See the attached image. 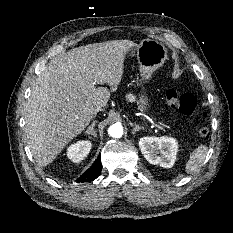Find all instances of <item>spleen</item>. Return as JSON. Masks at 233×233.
Returning a JSON list of instances; mask_svg holds the SVG:
<instances>
[{
  "label": "spleen",
  "mask_w": 233,
  "mask_h": 233,
  "mask_svg": "<svg viewBox=\"0 0 233 233\" xmlns=\"http://www.w3.org/2000/svg\"><path fill=\"white\" fill-rule=\"evenodd\" d=\"M208 153L206 145H199L191 154L190 159L186 162L185 171L187 174L195 173L204 163Z\"/></svg>",
  "instance_id": "spleen-1"
}]
</instances>
